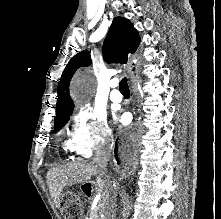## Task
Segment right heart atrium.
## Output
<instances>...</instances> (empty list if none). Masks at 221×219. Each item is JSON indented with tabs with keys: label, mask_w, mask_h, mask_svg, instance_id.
Masks as SVG:
<instances>
[{
	"label": "right heart atrium",
	"mask_w": 221,
	"mask_h": 219,
	"mask_svg": "<svg viewBox=\"0 0 221 219\" xmlns=\"http://www.w3.org/2000/svg\"><path fill=\"white\" fill-rule=\"evenodd\" d=\"M110 139L103 113L85 106L76 110L72 120V144L76 152L89 156L105 147Z\"/></svg>",
	"instance_id": "d8ad5b80"
}]
</instances>
